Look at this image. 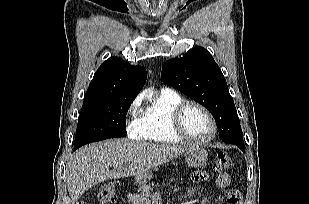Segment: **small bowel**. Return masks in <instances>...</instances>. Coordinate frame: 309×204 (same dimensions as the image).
I'll return each instance as SVG.
<instances>
[{"mask_svg": "<svg viewBox=\"0 0 309 204\" xmlns=\"http://www.w3.org/2000/svg\"><path fill=\"white\" fill-rule=\"evenodd\" d=\"M207 178H208L207 174L203 171L196 172L193 175V179L195 181H205V180H207ZM230 182H231L230 175L228 173H221L216 179V186L219 189H225L229 186ZM234 196H238L241 199V195L237 190H231L228 193V200L231 197H234ZM238 204H240V203H238Z\"/></svg>", "mask_w": 309, "mask_h": 204, "instance_id": "c3829d8e", "label": "small bowel"}]
</instances>
